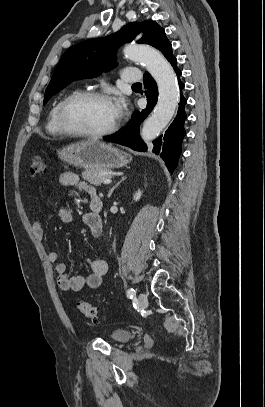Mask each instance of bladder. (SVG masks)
Here are the masks:
<instances>
[{
	"instance_id": "31cf9c89",
	"label": "bladder",
	"mask_w": 265,
	"mask_h": 407,
	"mask_svg": "<svg viewBox=\"0 0 265 407\" xmlns=\"http://www.w3.org/2000/svg\"><path fill=\"white\" fill-rule=\"evenodd\" d=\"M132 336H133L132 332L122 329H116L111 333V338L118 343L127 342L132 338Z\"/></svg>"
}]
</instances>
